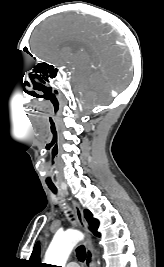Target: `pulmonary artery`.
<instances>
[{"instance_id":"1","label":"pulmonary artery","mask_w":164,"mask_h":267,"mask_svg":"<svg viewBox=\"0 0 164 267\" xmlns=\"http://www.w3.org/2000/svg\"><path fill=\"white\" fill-rule=\"evenodd\" d=\"M66 267H79V265L76 262H70L66 265Z\"/></svg>"}]
</instances>
